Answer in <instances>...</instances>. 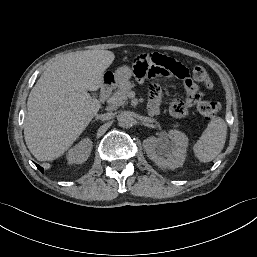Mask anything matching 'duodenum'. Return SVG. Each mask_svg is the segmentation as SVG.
Returning <instances> with one entry per match:
<instances>
[{
    "label": "duodenum",
    "mask_w": 257,
    "mask_h": 257,
    "mask_svg": "<svg viewBox=\"0 0 257 257\" xmlns=\"http://www.w3.org/2000/svg\"><path fill=\"white\" fill-rule=\"evenodd\" d=\"M114 80L112 77H106L104 79V83L101 87V91H100V100L102 102L106 101L109 96L111 95L113 89H114Z\"/></svg>",
    "instance_id": "obj_1"
}]
</instances>
